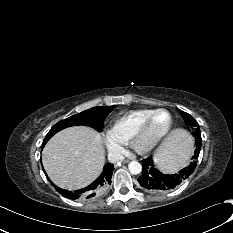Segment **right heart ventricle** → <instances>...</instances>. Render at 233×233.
Wrapping results in <instances>:
<instances>
[{"label": "right heart ventricle", "mask_w": 233, "mask_h": 233, "mask_svg": "<svg viewBox=\"0 0 233 233\" xmlns=\"http://www.w3.org/2000/svg\"><path fill=\"white\" fill-rule=\"evenodd\" d=\"M151 111L150 108H141L126 112L112 123L109 136L120 145L130 144L138 125Z\"/></svg>", "instance_id": "right-heart-ventricle-1"}]
</instances>
